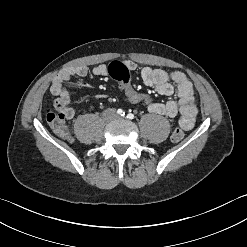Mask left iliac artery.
Masks as SVG:
<instances>
[{
  "label": "left iliac artery",
  "mask_w": 247,
  "mask_h": 247,
  "mask_svg": "<svg viewBox=\"0 0 247 247\" xmlns=\"http://www.w3.org/2000/svg\"><path fill=\"white\" fill-rule=\"evenodd\" d=\"M127 118H128V119H131V120L134 119V114L129 113V114L127 115Z\"/></svg>",
  "instance_id": "left-iliac-artery-1"
}]
</instances>
